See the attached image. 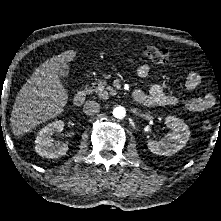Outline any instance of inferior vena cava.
Returning a JSON list of instances; mask_svg holds the SVG:
<instances>
[{"instance_id":"602c4592","label":"inferior vena cava","mask_w":221,"mask_h":221,"mask_svg":"<svg viewBox=\"0 0 221 221\" xmlns=\"http://www.w3.org/2000/svg\"><path fill=\"white\" fill-rule=\"evenodd\" d=\"M99 110H100V104L93 100L85 102L83 106V112L87 115L96 114L99 112Z\"/></svg>"}]
</instances>
